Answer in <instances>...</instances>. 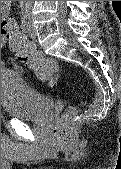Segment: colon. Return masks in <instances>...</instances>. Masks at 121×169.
<instances>
[{
    "label": "colon",
    "instance_id": "1",
    "mask_svg": "<svg viewBox=\"0 0 121 169\" xmlns=\"http://www.w3.org/2000/svg\"><path fill=\"white\" fill-rule=\"evenodd\" d=\"M9 50L15 54L18 61L32 70L35 76L43 82L55 86L59 80L58 63L52 58L44 57L36 51L33 45L17 29H10L4 33ZM76 109H68L64 116L57 120L52 128V136L56 142L64 143L71 137Z\"/></svg>",
    "mask_w": 121,
    "mask_h": 169
}]
</instances>
